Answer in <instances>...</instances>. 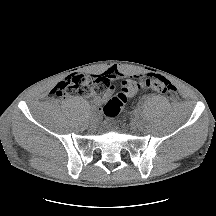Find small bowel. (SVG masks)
Segmentation results:
<instances>
[{"label":"small bowel","mask_w":216,"mask_h":216,"mask_svg":"<svg viewBox=\"0 0 216 216\" xmlns=\"http://www.w3.org/2000/svg\"><path fill=\"white\" fill-rule=\"evenodd\" d=\"M104 75L108 76L112 80L120 79V78H123L125 76L124 73H122L120 70H118L115 67L107 69L106 72L104 73ZM114 91H115V86L110 85V87L108 88V90L105 93H103L101 96H98L95 98V102L97 104L104 103L113 95ZM137 92H138V90L131 91L129 94V97H132Z\"/></svg>","instance_id":"obj_1"}]
</instances>
